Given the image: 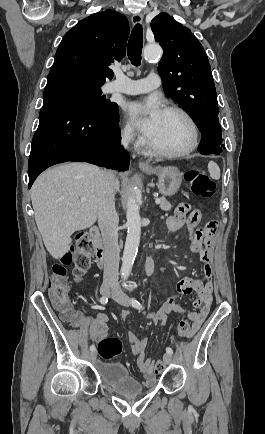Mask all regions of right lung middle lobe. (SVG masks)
<instances>
[{"instance_id": "obj_1", "label": "right lung middle lobe", "mask_w": 265, "mask_h": 434, "mask_svg": "<svg viewBox=\"0 0 265 434\" xmlns=\"http://www.w3.org/2000/svg\"><path fill=\"white\" fill-rule=\"evenodd\" d=\"M104 82L97 79L74 74H56L48 76L44 93L58 91L78 103L92 117L115 120L118 116V105L106 100L100 90Z\"/></svg>"}]
</instances>
